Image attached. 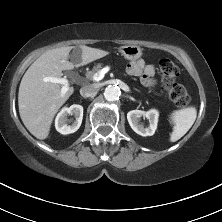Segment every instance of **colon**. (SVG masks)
Here are the masks:
<instances>
[{
	"label": "colon",
	"mask_w": 222,
	"mask_h": 222,
	"mask_svg": "<svg viewBox=\"0 0 222 222\" xmlns=\"http://www.w3.org/2000/svg\"><path fill=\"white\" fill-rule=\"evenodd\" d=\"M159 71L163 82L164 91L169 98L179 107H186L190 98L183 85L177 82L179 69L177 65L168 58L159 61Z\"/></svg>",
	"instance_id": "obj_1"
}]
</instances>
